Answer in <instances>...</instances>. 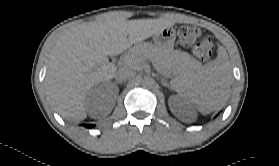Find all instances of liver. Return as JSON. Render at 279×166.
<instances>
[{
	"mask_svg": "<svg viewBox=\"0 0 279 166\" xmlns=\"http://www.w3.org/2000/svg\"><path fill=\"white\" fill-rule=\"evenodd\" d=\"M174 24V16L125 20L110 14L66 31L52 49L45 77L48 97L57 112L68 120H84L87 91L115 77L117 68L108 56L119 55Z\"/></svg>",
	"mask_w": 279,
	"mask_h": 166,
	"instance_id": "1",
	"label": "liver"
}]
</instances>
